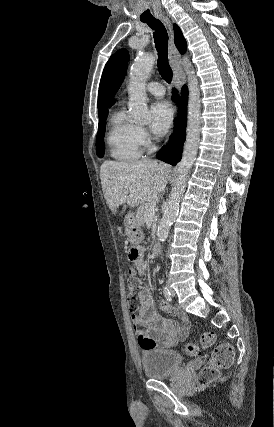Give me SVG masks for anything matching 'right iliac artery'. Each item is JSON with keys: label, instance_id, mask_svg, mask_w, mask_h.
I'll return each instance as SVG.
<instances>
[{"label": "right iliac artery", "instance_id": "right-iliac-artery-1", "mask_svg": "<svg viewBox=\"0 0 274 427\" xmlns=\"http://www.w3.org/2000/svg\"><path fill=\"white\" fill-rule=\"evenodd\" d=\"M163 294H164V296L166 297V299L168 301L172 300L171 293H170L169 289L166 286L163 288Z\"/></svg>", "mask_w": 274, "mask_h": 427}]
</instances>
